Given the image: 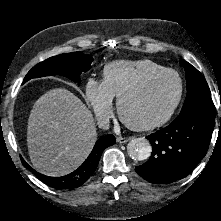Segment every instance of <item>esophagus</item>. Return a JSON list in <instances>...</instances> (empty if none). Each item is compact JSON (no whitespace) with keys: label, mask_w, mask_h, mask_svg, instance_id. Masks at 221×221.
<instances>
[{"label":"esophagus","mask_w":221,"mask_h":221,"mask_svg":"<svg viewBox=\"0 0 221 221\" xmlns=\"http://www.w3.org/2000/svg\"><path fill=\"white\" fill-rule=\"evenodd\" d=\"M129 140H130V138H124V137H117V138H116V141H117L118 143H120V144L126 143V142H128Z\"/></svg>","instance_id":"1"}]
</instances>
